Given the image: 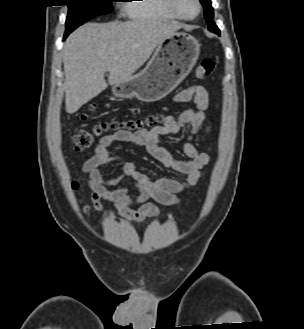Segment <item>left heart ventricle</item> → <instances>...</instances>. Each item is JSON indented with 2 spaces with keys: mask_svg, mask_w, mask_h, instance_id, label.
Wrapping results in <instances>:
<instances>
[{
  "mask_svg": "<svg viewBox=\"0 0 304 329\" xmlns=\"http://www.w3.org/2000/svg\"><path fill=\"white\" fill-rule=\"evenodd\" d=\"M179 12L185 16H193L197 12L195 0H176Z\"/></svg>",
  "mask_w": 304,
  "mask_h": 329,
  "instance_id": "obj_1",
  "label": "left heart ventricle"
}]
</instances>
